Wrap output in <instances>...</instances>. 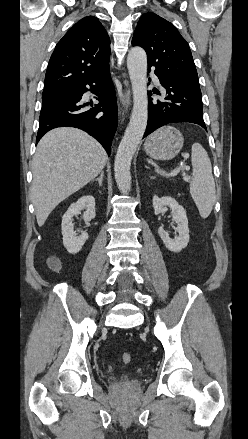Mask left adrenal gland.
Instances as JSON below:
<instances>
[{
    "label": "left adrenal gland",
    "instance_id": "1",
    "mask_svg": "<svg viewBox=\"0 0 248 439\" xmlns=\"http://www.w3.org/2000/svg\"><path fill=\"white\" fill-rule=\"evenodd\" d=\"M150 179H154V177H150Z\"/></svg>",
    "mask_w": 248,
    "mask_h": 439
}]
</instances>
